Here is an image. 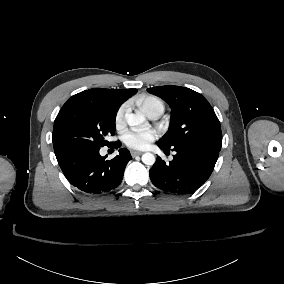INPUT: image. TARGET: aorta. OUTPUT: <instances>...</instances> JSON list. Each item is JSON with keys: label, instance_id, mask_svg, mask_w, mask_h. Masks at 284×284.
<instances>
[{"label": "aorta", "instance_id": "aorta-1", "mask_svg": "<svg viewBox=\"0 0 284 284\" xmlns=\"http://www.w3.org/2000/svg\"><path fill=\"white\" fill-rule=\"evenodd\" d=\"M126 119L130 126H138L145 122V116L142 113L127 114ZM155 160V156L152 153L147 152L142 155V161L146 165H153Z\"/></svg>", "mask_w": 284, "mask_h": 284}]
</instances>
